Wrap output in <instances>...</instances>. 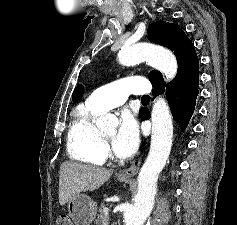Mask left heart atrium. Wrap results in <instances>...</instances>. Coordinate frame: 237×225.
Returning a JSON list of instances; mask_svg holds the SVG:
<instances>
[{
	"label": "left heart atrium",
	"mask_w": 237,
	"mask_h": 225,
	"mask_svg": "<svg viewBox=\"0 0 237 225\" xmlns=\"http://www.w3.org/2000/svg\"><path fill=\"white\" fill-rule=\"evenodd\" d=\"M139 127L135 117L129 112H123L120 125L112 141L115 154L119 157H130L139 145Z\"/></svg>",
	"instance_id": "39dd6f15"
}]
</instances>
